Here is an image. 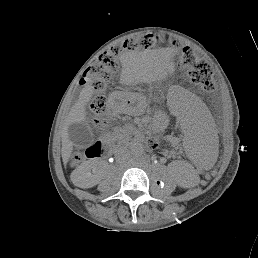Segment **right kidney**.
I'll use <instances>...</instances> for the list:
<instances>
[{"instance_id":"obj_1","label":"right kidney","mask_w":258,"mask_h":258,"mask_svg":"<svg viewBox=\"0 0 258 258\" xmlns=\"http://www.w3.org/2000/svg\"><path fill=\"white\" fill-rule=\"evenodd\" d=\"M88 181L90 183V185L88 187H91L98 182L96 179H94L93 175L87 170V168L81 167L80 169L75 170L73 172V183L74 184H79L81 182H88Z\"/></svg>"}]
</instances>
